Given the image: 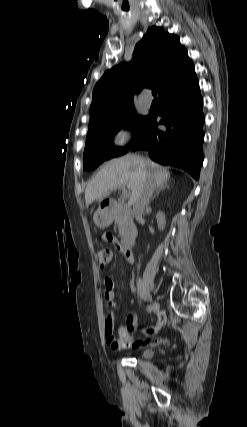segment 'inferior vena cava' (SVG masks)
Instances as JSON below:
<instances>
[{
    "label": "inferior vena cava",
    "mask_w": 247,
    "mask_h": 427,
    "mask_svg": "<svg viewBox=\"0 0 247 427\" xmlns=\"http://www.w3.org/2000/svg\"><path fill=\"white\" fill-rule=\"evenodd\" d=\"M155 187L156 184L154 178L150 174H148L146 176L144 186L141 192L133 201V214L136 218L141 217L144 212V209L149 205Z\"/></svg>",
    "instance_id": "obj_1"
}]
</instances>
